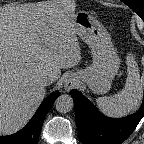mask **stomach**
I'll return each instance as SVG.
<instances>
[{"mask_svg": "<svg viewBox=\"0 0 144 144\" xmlns=\"http://www.w3.org/2000/svg\"><path fill=\"white\" fill-rule=\"evenodd\" d=\"M73 20L76 34L91 49L93 62L87 68L74 72L71 79L86 83L94 93L105 94L120 67L110 34L89 12L78 11Z\"/></svg>", "mask_w": 144, "mask_h": 144, "instance_id": "1", "label": "stomach"}]
</instances>
